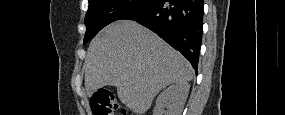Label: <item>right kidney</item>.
<instances>
[{"label": "right kidney", "instance_id": "1", "mask_svg": "<svg viewBox=\"0 0 285 115\" xmlns=\"http://www.w3.org/2000/svg\"><path fill=\"white\" fill-rule=\"evenodd\" d=\"M189 89L190 85L187 82H181L163 90L157 97L153 115H180Z\"/></svg>", "mask_w": 285, "mask_h": 115}]
</instances>
